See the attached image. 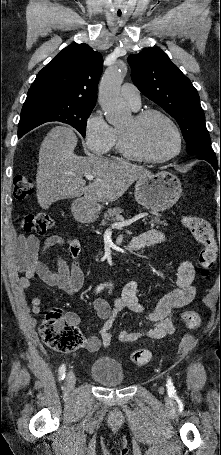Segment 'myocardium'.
<instances>
[{
  "instance_id": "myocardium-1",
  "label": "myocardium",
  "mask_w": 221,
  "mask_h": 455,
  "mask_svg": "<svg viewBox=\"0 0 221 455\" xmlns=\"http://www.w3.org/2000/svg\"><path fill=\"white\" fill-rule=\"evenodd\" d=\"M152 116H158L164 119L172 128L174 135L176 137V149L174 152L171 154L165 156V157H160V158H155V157H150L147 156L139 151H137L134 146L132 145L131 142V136L127 131H124L122 129L119 130V146H120V151L121 153L135 161L139 162H145V163H152V164H161L165 163L168 161H171L172 159L176 158L182 151L183 147V139L181 135V131L176 124V122L165 112L159 110V109H145L142 111L137 112L132 118L133 121L136 125L141 124L148 118Z\"/></svg>"
}]
</instances>
